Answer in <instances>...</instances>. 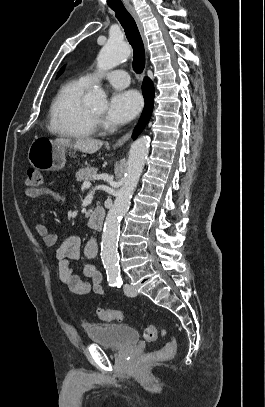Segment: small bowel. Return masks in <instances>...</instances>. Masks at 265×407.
I'll return each mask as SVG.
<instances>
[{"label":"small bowel","instance_id":"c3829d8e","mask_svg":"<svg viewBox=\"0 0 265 407\" xmlns=\"http://www.w3.org/2000/svg\"><path fill=\"white\" fill-rule=\"evenodd\" d=\"M43 196H51L54 199L60 200L61 196L47 187L30 188L24 190V203L30 199H36ZM36 233L42 238L47 246L55 245L59 240L57 233L51 232L47 226L37 223L34 226ZM84 255L88 259H93L97 255V243L95 240H89L83 249ZM82 241L77 235L66 237L55 252V260L57 261V269L59 278L64 283L70 292L81 297L88 296L92 291L101 297L106 296L101 282L102 273L92 263H86L83 266V277L75 274L70 263L81 257Z\"/></svg>","mask_w":265,"mask_h":407}]
</instances>
